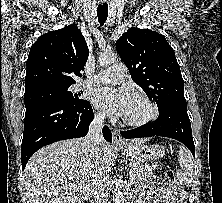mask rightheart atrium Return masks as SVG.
Masks as SVG:
<instances>
[{
	"label": "right heart atrium",
	"mask_w": 222,
	"mask_h": 203,
	"mask_svg": "<svg viewBox=\"0 0 222 203\" xmlns=\"http://www.w3.org/2000/svg\"><path fill=\"white\" fill-rule=\"evenodd\" d=\"M96 117H97L98 119H102V118L104 117V115H103L102 113H97V114H96Z\"/></svg>",
	"instance_id": "1"
}]
</instances>
